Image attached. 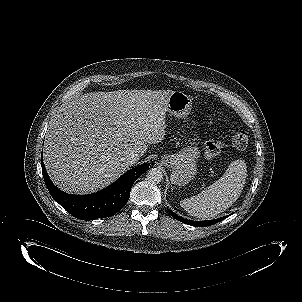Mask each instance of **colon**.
I'll use <instances>...</instances> for the list:
<instances>
[{"label": "colon", "mask_w": 302, "mask_h": 302, "mask_svg": "<svg viewBox=\"0 0 302 302\" xmlns=\"http://www.w3.org/2000/svg\"><path fill=\"white\" fill-rule=\"evenodd\" d=\"M248 139V134L244 130L235 129L231 141L235 147L242 149L247 146ZM224 145V141L220 138L209 140L204 147L205 157L211 159L218 156Z\"/></svg>", "instance_id": "1"}]
</instances>
